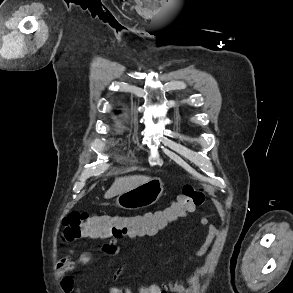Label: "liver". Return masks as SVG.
Returning a JSON list of instances; mask_svg holds the SVG:
<instances>
[{"instance_id": "obj_1", "label": "liver", "mask_w": 293, "mask_h": 293, "mask_svg": "<svg viewBox=\"0 0 293 293\" xmlns=\"http://www.w3.org/2000/svg\"><path fill=\"white\" fill-rule=\"evenodd\" d=\"M148 180H150V177L143 175H132L116 178L112 186L105 193L104 198H113L147 182Z\"/></svg>"}]
</instances>
